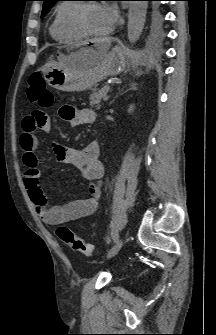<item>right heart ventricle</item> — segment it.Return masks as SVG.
<instances>
[{"mask_svg": "<svg viewBox=\"0 0 216 335\" xmlns=\"http://www.w3.org/2000/svg\"><path fill=\"white\" fill-rule=\"evenodd\" d=\"M78 4L64 1L60 3L50 24V35L58 42H72L84 37L72 25V15Z\"/></svg>", "mask_w": 216, "mask_h": 335, "instance_id": "1", "label": "right heart ventricle"}]
</instances>
